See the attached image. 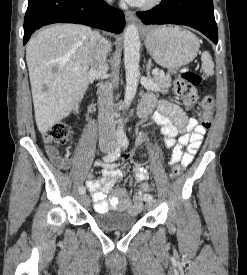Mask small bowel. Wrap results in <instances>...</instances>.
<instances>
[{"label": "small bowel", "mask_w": 247, "mask_h": 275, "mask_svg": "<svg viewBox=\"0 0 247 275\" xmlns=\"http://www.w3.org/2000/svg\"><path fill=\"white\" fill-rule=\"evenodd\" d=\"M156 104V100L151 96L143 100L146 113ZM157 105L158 110L152 115V120L160 127L165 146L172 149L168 165L181 163L186 167L193 161L200 148L206 129L196 119L188 118L178 106L171 102L160 101ZM45 152L52 164L61 170H69L74 165L71 159L61 156L52 145H46ZM129 157L125 155L123 159L127 160ZM122 176L123 172L112 165H106L102 169L100 178H96L91 172L87 174L86 187L91 193L96 212L112 211L130 214L140 212L143 193L137 191L131 195L125 189L115 188ZM134 177L137 182L144 183L148 179L147 169L142 166L136 167Z\"/></svg>", "instance_id": "c3829d8e"}]
</instances>
